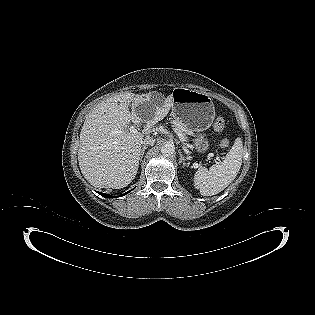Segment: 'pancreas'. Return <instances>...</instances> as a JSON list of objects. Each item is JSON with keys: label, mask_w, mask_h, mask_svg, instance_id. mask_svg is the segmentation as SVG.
<instances>
[{"label": "pancreas", "mask_w": 315, "mask_h": 315, "mask_svg": "<svg viewBox=\"0 0 315 315\" xmlns=\"http://www.w3.org/2000/svg\"><path fill=\"white\" fill-rule=\"evenodd\" d=\"M176 128L180 131L183 135L190 133V130L179 120L174 121Z\"/></svg>", "instance_id": "obj_1"}]
</instances>
